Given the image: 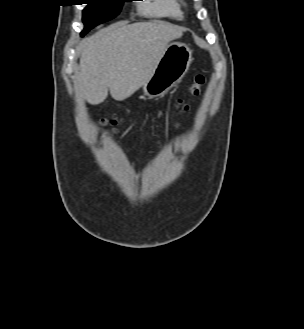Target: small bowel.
Returning a JSON list of instances; mask_svg holds the SVG:
<instances>
[{"label":"small bowel","mask_w":304,"mask_h":329,"mask_svg":"<svg viewBox=\"0 0 304 329\" xmlns=\"http://www.w3.org/2000/svg\"><path fill=\"white\" fill-rule=\"evenodd\" d=\"M180 126H181V123H179V122H176V123L174 124V127H175L176 129L180 128Z\"/></svg>","instance_id":"obj_1"}]
</instances>
